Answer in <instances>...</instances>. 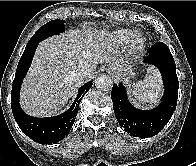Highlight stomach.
<instances>
[{
    "mask_svg": "<svg viewBox=\"0 0 196 166\" xmlns=\"http://www.w3.org/2000/svg\"><path fill=\"white\" fill-rule=\"evenodd\" d=\"M123 75H132V69L129 65L123 64L120 68L117 69Z\"/></svg>",
    "mask_w": 196,
    "mask_h": 166,
    "instance_id": "stomach-1",
    "label": "stomach"
}]
</instances>
